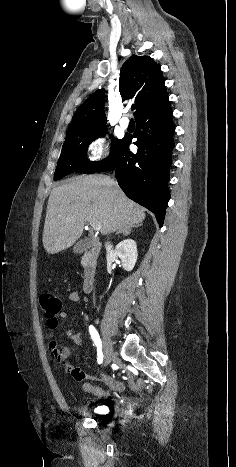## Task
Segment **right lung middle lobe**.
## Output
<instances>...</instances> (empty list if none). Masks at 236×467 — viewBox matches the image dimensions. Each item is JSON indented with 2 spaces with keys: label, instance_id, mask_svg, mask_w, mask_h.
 I'll return each instance as SVG.
<instances>
[{
  "label": "right lung middle lobe",
  "instance_id": "dd1d6c3e",
  "mask_svg": "<svg viewBox=\"0 0 236 467\" xmlns=\"http://www.w3.org/2000/svg\"><path fill=\"white\" fill-rule=\"evenodd\" d=\"M107 128L94 130L86 133H72L66 136L59 157L57 168L54 174V180H58L70 173L78 172L92 174L104 166L118 152L123 139L112 138L111 153L108 158L101 162H90L86 158L88 145L99 137H104Z\"/></svg>",
  "mask_w": 236,
  "mask_h": 467
}]
</instances>
